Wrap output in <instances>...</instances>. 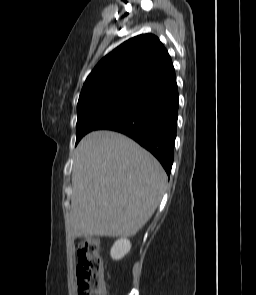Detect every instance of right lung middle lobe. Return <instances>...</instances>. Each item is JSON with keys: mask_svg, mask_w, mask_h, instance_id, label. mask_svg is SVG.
I'll list each match as a JSON object with an SVG mask.
<instances>
[{"mask_svg": "<svg viewBox=\"0 0 256 295\" xmlns=\"http://www.w3.org/2000/svg\"><path fill=\"white\" fill-rule=\"evenodd\" d=\"M135 95L136 92L124 93L91 105H77L76 144L86 133L99 129L106 121L121 112Z\"/></svg>", "mask_w": 256, "mask_h": 295, "instance_id": "dd1d6c3e", "label": "right lung middle lobe"}]
</instances>
